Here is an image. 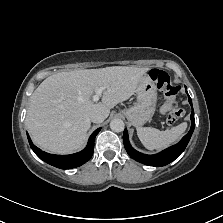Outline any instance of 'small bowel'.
<instances>
[{"instance_id": "c3829d8e", "label": "small bowel", "mask_w": 223, "mask_h": 223, "mask_svg": "<svg viewBox=\"0 0 223 223\" xmlns=\"http://www.w3.org/2000/svg\"><path fill=\"white\" fill-rule=\"evenodd\" d=\"M169 110V105L166 103L165 105L162 106V112H165Z\"/></svg>"}]
</instances>
